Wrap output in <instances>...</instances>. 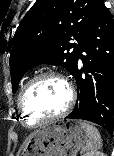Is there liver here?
I'll return each instance as SVG.
<instances>
[{
  "label": "liver",
  "mask_w": 114,
  "mask_h": 156,
  "mask_svg": "<svg viewBox=\"0 0 114 156\" xmlns=\"http://www.w3.org/2000/svg\"><path fill=\"white\" fill-rule=\"evenodd\" d=\"M32 135H33V134H32ZM32 135H30V136L25 140V142H24L23 145H22V149H24V148L26 147V145H27L28 141L30 140V138L32 137Z\"/></svg>",
  "instance_id": "6515ba94"
}]
</instances>
